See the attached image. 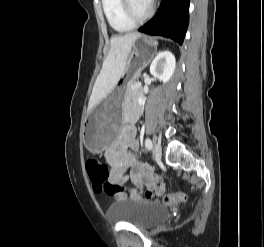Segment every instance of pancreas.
<instances>
[{"mask_svg":"<svg viewBox=\"0 0 264 247\" xmlns=\"http://www.w3.org/2000/svg\"><path fill=\"white\" fill-rule=\"evenodd\" d=\"M140 92H141V88L139 87L136 79L130 81L127 87L126 94L127 97L133 101L134 105H136L137 103V97Z\"/></svg>","mask_w":264,"mask_h":247,"instance_id":"obj_1","label":"pancreas"}]
</instances>
